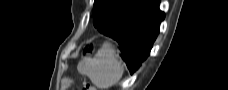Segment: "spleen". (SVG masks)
<instances>
[{"mask_svg":"<svg viewBox=\"0 0 228 90\" xmlns=\"http://www.w3.org/2000/svg\"><path fill=\"white\" fill-rule=\"evenodd\" d=\"M80 72L87 75L95 86L104 90L121 79L124 69L114 49L109 44H104L93 58L84 61Z\"/></svg>","mask_w":228,"mask_h":90,"instance_id":"3e777b00","label":"spleen"}]
</instances>
